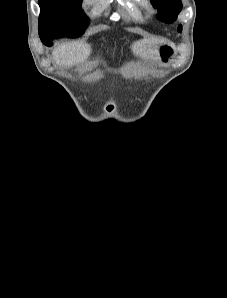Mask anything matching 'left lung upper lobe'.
<instances>
[{"mask_svg":"<svg viewBox=\"0 0 227 298\" xmlns=\"http://www.w3.org/2000/svg\"><path fill=\"white\" fill-rule=\"evenodd\" d=\"M152 5L158 9L159 18L162 21L171 23L177 19V15L182 9L181 0H150ZM182 26L178 27V31L181 32Z\"/></svg>","mask_w":227,"mask_h":298,"instance_id":"obj_1","label":"left lung upper lobe"}]
</instances>
